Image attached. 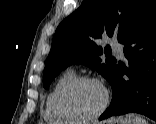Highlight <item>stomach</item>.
I'll return each instance as SVG.
<instances>
[{"instance_id": "stomach-1", "label": "stomach", "mask_w": 156, "mask_h": 124, "mask_svg": "<svg viewBox=\"0 0 156 124\" xmlns=\"http://www.w3.org/2000/svg\"><path fill=\"white\" fill-rule=\"evenodd\" d=\"M106 124H127L123 118H114L109 120Z\"/></svg>"}]
</instances>
